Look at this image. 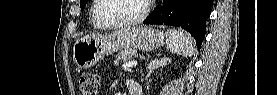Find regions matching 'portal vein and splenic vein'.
Listing matches in <instances>:
<instances>
[{
	"label": "portal vein and splenic vein",
	"instance_id": "obj_1",
	"mask_svg": "<svg viewBox=\"0 0 277 95\" xmlns=\"http://www.w3.org/2000/svg\"><path fill=\"white\" fill-rule=\"evenodd\" d=\"M136 65H137V61L133 60V61H129V62L124 63V64L122 65V67H123L124 69H127V68H132V67H134V66H136Z\"/></svg>",
	"mask_w": 277,
	"mask_h": 95
}]
</instances>
